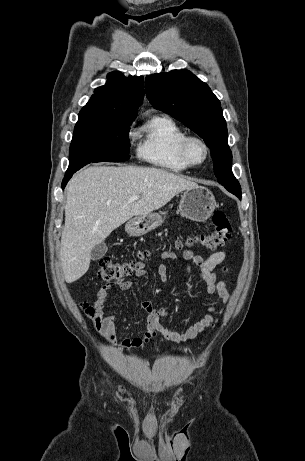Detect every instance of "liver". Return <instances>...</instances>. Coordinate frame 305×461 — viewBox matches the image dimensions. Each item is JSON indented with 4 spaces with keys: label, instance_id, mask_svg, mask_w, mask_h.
I'll list each match as a JSON object with an SVG mask.
<instances>
[{
    "label": "liver",
    "instance_id": "6515ba94",
    "mask_svg": "<svg viewBox=\"0 0 305 461\" xmlns=\"http://www.w3.org/2000/svg\"><path fill=\"white\" fill-rule=\"evenodd\" d=\"M198 186L157 168L96 166L77 172L67 186L60 260L67 283L89 269L91 250L131 219L166 205ZM133 195L140 196L129 201Z\"/></svg>",
    "mask_w": 305,
    "mask_h": 461
}]
</instances>
